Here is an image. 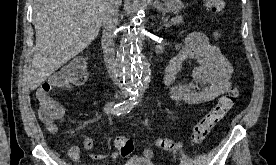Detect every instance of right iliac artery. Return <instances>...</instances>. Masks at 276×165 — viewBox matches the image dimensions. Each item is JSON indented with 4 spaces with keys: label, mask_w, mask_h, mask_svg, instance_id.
I'll return each mask as SVG.
<instances>
[{
    "label": "right iliac artery",
    "mask_w": 276,
    "mask_h": 165,
    "mask_svg": "<svg viewBox=\"0 0 276 165\" xmlns=\"http://www.w3.org/2000/svg\"><path fill=\"white\" fill-rule=\"evenodd\" d=\"M135 104L136 102L131 101V99L118 104L107 103L104 107V111L106 114L125 115L132 110Z\"/></svg>",
    "instance_id": "1"
}]
</instances>
